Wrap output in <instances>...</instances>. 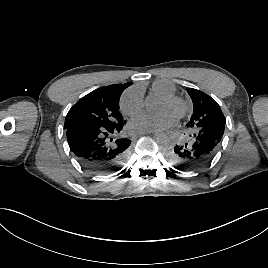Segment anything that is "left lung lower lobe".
Returning <instances> with one entry per match:
<instances>
[{"label": "left lung lower lobe", "mask_w": 268, "mask_h": 268, "mask_svg": "<svg viewBox=\"0 0 268 268\" xmlns=\"http://www.w3.org/2000/svg\"><path fill=\"white\" fill-rule=\"evenodd\" d=\"M225 125H209L193 131L187 143L179 144L168 154L177 169L193 170L209 163L217 153Z\"/></svg>", "instance_id": "left-lung-lower-lobe-1"}]
</instances>
